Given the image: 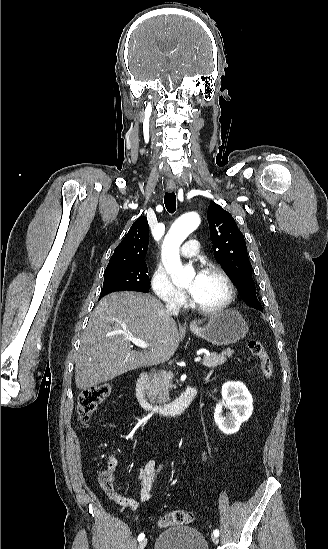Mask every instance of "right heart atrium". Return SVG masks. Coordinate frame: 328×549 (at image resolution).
Masks as SVG:
<instances>
[{
  "instance_id": "right-heart-atrium-1",
  "label": "right heart atrium",
  "mask_w": 328,
  "mask_h": 549,
  "mask_svg": "<svg viewBox=\"0 0 328 549\" xmlns=\"http://www.w3.org/2000/svg\"><path fill=\"white\" fill-rule=\"evenodd\" d=\"M151 239L154 240L155 237ZM149 284L157 298L155 303L184 304L185 295L174 285L169 273L158 262H154L151 267Z\"/></svg>"
}]
</instances>
